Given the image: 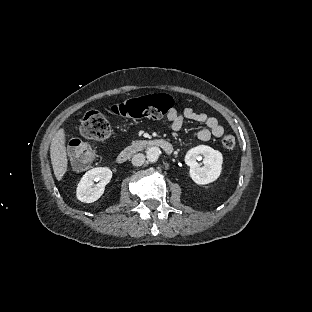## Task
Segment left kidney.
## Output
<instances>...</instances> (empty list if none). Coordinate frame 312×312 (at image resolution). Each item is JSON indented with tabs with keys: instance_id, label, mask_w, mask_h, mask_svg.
Instances as JSON below:
<instances>
[{
	"instance_id": "left-kidney-1",
	"label": "left kidney",
	"mask_w": 312,
	"mask_h": 312,
	"mask_svg": "<svg viewBox=\"0 0 312 312\" xmlns=\"http://www.w3.org/2000/svg\"><path fill=\"white\" fill-rule=\"evenodd\" d=\"M203 159L201 167L197 160ZM186 165L190 167V178L197 185H208L215 182L222 173L223 155L207 145H199L190 149L184 158Z\"/></svg>"
}]
</instances>
